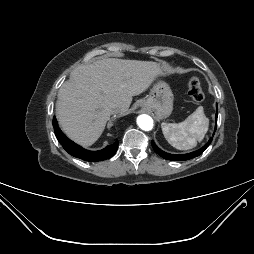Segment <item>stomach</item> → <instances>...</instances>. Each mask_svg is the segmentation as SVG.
Returning a JSON list of instances; mask_svg holds the SVG:
<instances>
[{"label": "stomach", "mask_w": 254, "mask_h": 254, "mask_svg": "<svg viewBox=\"0 0 254 254\" xmlns=\"http://www.w3.org/2000/svg\"><path fill=\"white\" fill-rule=\"evenodd\" d=\"M142 108L153 112L158 119L168 117L173 110V93L164 81H158L142 101Z\"/></svg>", "instance_id": "1"}]
</instances>
